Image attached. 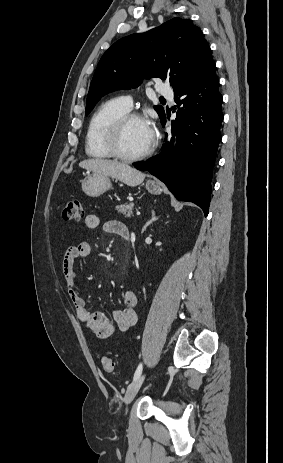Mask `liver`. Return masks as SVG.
<instances>
[{
    "mask_svg": "<svg viewBox=\"0 0 283 463\" xmlns=\"http://www.w3.org/2000/svg\"><path fill=\"white\" fill-rule=\"evenodd\" d=\"M79 167L92 171L94 174L115 178L128 186L141 184L145 174L130 167L128 164L106 159H87L79 163Z\"/></svg>",
    "mask_w": 283,
    "mask_h": 463,
    "instance_id": "6515ba94",
    "label": "liver"
}]
</instances>
